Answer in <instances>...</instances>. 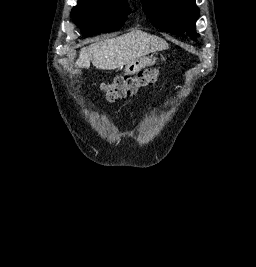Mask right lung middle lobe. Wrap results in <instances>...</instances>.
<instances>
[{
	"instance_id": "dd1d6c3e",
	"label": "right lung middle lobe",
	"mask_w": 256,
	"mask_h": 267,
	"mask_svg": "<svg viewBox=\"0 0 256 267\" xmlns=\"http://www.w3.org/2000/svg\"><path fill=\"white\" fill-rule=\"evenodd\" d=\"M131 10L124 1L86 0L78 1L72 9L74 22L81 27L83 36L119 30Z\"/></svg>"
}]
</instances>
